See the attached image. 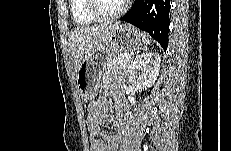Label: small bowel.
I'll use <instances>...</instances> for the list:
<instances>
[{
	"mask_svg": "<svg viewBox=\"0 0 231 151\" xmlns=\"http://www.w3.org/2000/svg\"><path fill=\"white\" fill-rule=\"evenodd\" d=\"M104 89H111L116 99L118 117L113 121L115 132L110 134L102 131L98 126L108 120V102L100 97L94 100L88 108L87 124L90 133L91 151H118L122 138V131L128 114V104L123 98V91L109 82H104Z\"/></svg>",
	"mask_w": 231,
	"mask_h": 151,
	"instance_id": "small-bowel-1",
	"label": "small bowel"
}]
</instances>
